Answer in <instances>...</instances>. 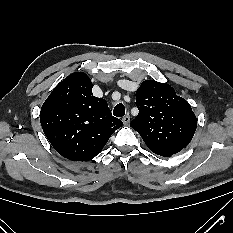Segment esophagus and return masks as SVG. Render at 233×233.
Returning <instances> with one entry per match:
<instances>
[{
    "label": "esophagus",
    "mask_w": 233,
    "mask_h": 233,
    "mask_svg": "<svg viewBox=\"0 0 233 233\" xmlns=\"http://www.w3.org/2000/svg\"><path fill=\"white\" fill-rule=\"evenodd\" d=\"M122 121H123V124L127 126L130 122V116L129 115L124 116Z\"/></svg>",
    "instance_id": "34e87169"
}]
</instances>
